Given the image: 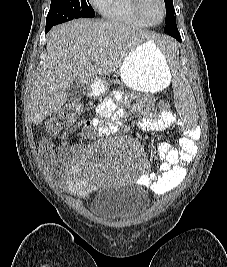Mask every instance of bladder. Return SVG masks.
Returning <instances> with one entry per match:
<instances>
[{"label":"bladder","mask_w":227,"mask_h":267,"mask_svg":"<svg viewBox=\"0 0 227 267\" xmlns=\"http://www.w3.org/2000/svg\"><path fill=\"white\" fill-rule=\"evenodd\" d=\"M149 205L146 194L131 185L98 190L91 200L92 213L102 221L118 223L135 219Z\"/></svg>","instance_id":"obj_1"}]
</instances>
